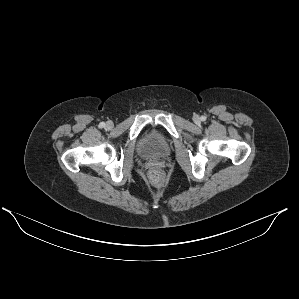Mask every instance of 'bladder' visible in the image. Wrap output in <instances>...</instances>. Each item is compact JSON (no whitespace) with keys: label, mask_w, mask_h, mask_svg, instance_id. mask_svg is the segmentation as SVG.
Listing matches in <instances>:
<instances>
[{"label":"bladder","mask_w":299,"mask_h":299,"mask_svg":"<svg viewBox=\"0 0 299 299\" xmlns=\"http://www.w3.org/2000/svg\"><path fill=\"white\" fill-rule=\"evenodd\" d=\"M169 136L157 128L144 130L137 139V150L145 160H157L168 157L172 152Z\"/></svg>","instance_id":"31cf9c89"}]
</instances>
